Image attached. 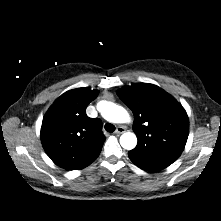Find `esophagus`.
Here are the masks:
<instances>
[{
  "label": "esophagus",
  "mask_w": 221,
  "mask_h": 221,
  "mask_svg": "<svg viewBox=\"0 0 221 221\" xmlns=\"http://www.w3.org/2000/svg\"><path fill=\"white\" fill-rule=\"evenodd\" d=\"M124 132H125V127L124 126H119V127H117V129L115 131V134L120 135Z\"/></svg>",
  "instance_id": "esophagus-1"
}]
</instances>
